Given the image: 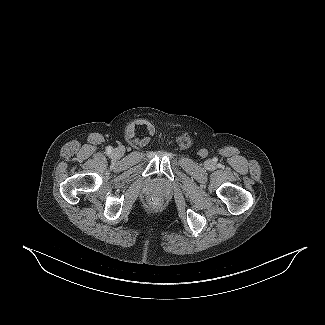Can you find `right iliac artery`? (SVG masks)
<instances>
[{
	"instance_id": "1",
	"label": "right iliac artery",
	"mask_w": 325,
	"mask_h": 325,
	"mask_svg": "<svg viewBox=\"0 0 325 325\" xmlns=\"http://www.w3.org/2000/svg\"><path fill=\"white\" fill-rule=\"evenodd\" d=\"M106 151H107V153H111V152H112V147H111V146H108V147L106 148Z\"/></svg>"
}]
</instances>
